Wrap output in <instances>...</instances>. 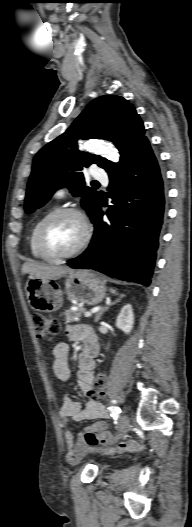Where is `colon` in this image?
<instances>
[{
	"label": "colon",
	"mask_w": 192,
	"mask_h": 527,
	"mask_svg": "<svg viewBox=\"0 0 192 527\" xmlns=\"http://www.w3.org/2000/svg\"><path fill=\"white\" fill-rule=\"evenodd\" d=\"M33 326L37 338L42 342L53 341V339L58 336L61 330V326L57 320L45 317L43 315L33 316ZM94 378L95 395L97 398L103 394L105 387V376L99 373Z\"/></svg>",
	"instance_id": "1"
}]
</instances>
